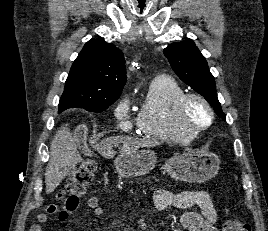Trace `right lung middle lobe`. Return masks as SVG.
I'll return each mask as SVG.
<instances>
[{
    "label": "right lung middle lobe",
    "mask_w": 268,
    "mask_h": 231,
    "mask_svg": "<svg viewBox=\"0 0 268 231\" xmlns=\"http://www.w3.org/2000/svg\"><path fill=\"white\" fill-rule=\"evenodd\" d=\"M117 99L107 100L100 102L98 104H77V103H59V110L58 112H62L65 109L77 107V108H83L91 112H102L105 109H107L110 105H112Z\"/></svg>",
    "instance_id": "dd1d6c3e"
}]
</instances>
